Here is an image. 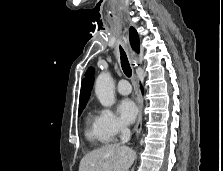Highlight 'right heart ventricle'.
Masks as SVG:
<instances>
[{
  "mask_svg": "<svg viewBox=\"0 0 223 171\" xmlns=\"http://www.w3.org/2000/svg\"><path fill=\"white\" fill-rule=\"evenodd\" d=\"M85 135L94 144H103L107 141L99 130L97 116L91 112L86 117Z\"/></svg>",
  "mask_w": 223,
  "mask_h": 171,
  "instance_id": "e07e8e85",
  "label": "right heart ventricle"
}]
</instances>
